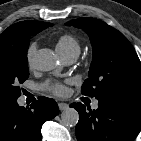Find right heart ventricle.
<instances>
[{
    "label": "right heart ventricle",
    "mask_w": 141,
    "mask_h": 141,
    "mask_svg": "<svg viewBox=\"0 0 141 141\" xmlns=\"http://www.w3.org/2000/svg\"><path fill=\"white\" fill-rule=\"evenodd\" d=\"M56 49L62 56L79 55L81 51V45L79 40L71 34L60 35L56 42Z\"/></svg>",
    "instance_id": "1"
}]
</instances>
